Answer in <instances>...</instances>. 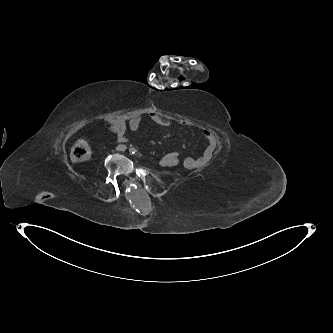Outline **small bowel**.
I'll return each mask as SVG.
<instances>
[{
  "instance_id": "obj_1",
  "label": "small bowel",
  "mask_w": 333,
  "mask_h": 333,
  "mask_svg": "<svg viewBox=\"0 0 333 333\" xmlns=\"http://www.w3.org/2000/svg\"><path fill=\"white\" fill-rule=\"evenodd\" d=\"M148 117L151 121L160 126H168L171 123V120L167 116L158 112H150ZM142 118V114L139 113L114 116L105 123V128L107 131L116 136L118 143H125L129 140L131 133H135L139 130ZM185 125L191 127L190 123L185 122ZM203 136L207 145L199 157L188 156L181 158L179 155L178 159L168 161L167 163H162L160 160V164L163 167H174L181 163L186 169L189 170H196L207 165L212 158L216 138L214 133L209 129H205L203 131Z\"/></svg>"
}]
</instances>
